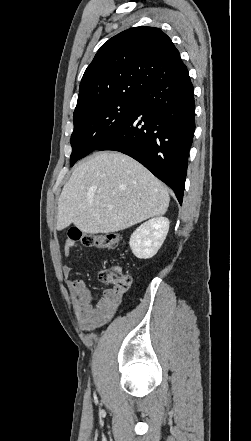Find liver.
<instances>
[{"mask_svg":"<svg viewBox=\"0 0 251 441\" xmlns=\"http://www.w3.org/2000/svg\"><path fill=\"white\" fill-rule=\"evenodd\" d=\"M165 186L143 165L118 152L80 163L58 201L56 229L74 224L84 233L118 232L168 209Z\"/></svg>","mask_w":251,"mask_h":441,"instance_id":"1","label":"liver"}]
</instances>
